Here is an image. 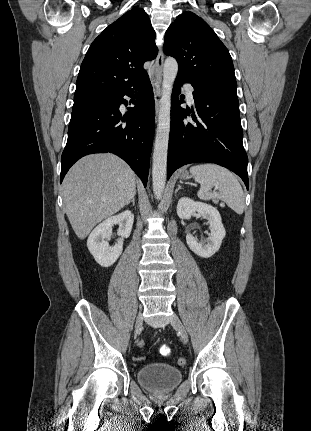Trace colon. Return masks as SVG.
<instances>
[{"mask_svg": "<svg viewBox=\"0 0 311 431\" xmlns=\"http://www.w3.org/2000/svg\"><path fill=\"white\" fill-rule=\"evenodd\" d=\"M138 346H139V348H144V346H145L144 341H140V342H139V344H138ZM161 353H162L163 355H168V354H169V348H168V347H166V346H163V347L161 348ZM135 360H137V361H142V360H144V356L138 355V356H136V357H135ZM177 363H178V365H180V366H185V365H186V363H187V361H186V359H185V358L180 357V358L177 360Z\"/></svg>", "mask_w": 311, "mask_h": 431, "instance_id": "obj_1", "label": "colon"}]
</instances>
